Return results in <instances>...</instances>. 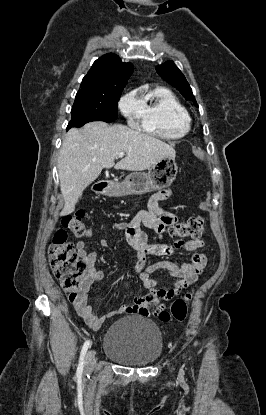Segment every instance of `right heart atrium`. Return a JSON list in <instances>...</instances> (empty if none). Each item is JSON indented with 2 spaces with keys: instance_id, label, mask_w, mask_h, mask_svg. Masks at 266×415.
I'll return each mask as SVG.
<instances>
[{
  "instance_id": "right-heart-atrium-1",
  "label": "right heart atrium",
  "mask_w": 266,
  "mask_h": 415,
  "mask_svg": "<svg viewBox=\"0 0 266 415\" xmlns=\"http://www.w3.org/2000/svg\"><path fill=\"white\" fill-rule=\"evenodd\" d=\"M119 109L129 124L137 123L142 116V103L136 91H131L120 99Z\"/></svg>"
}]
</instances>
